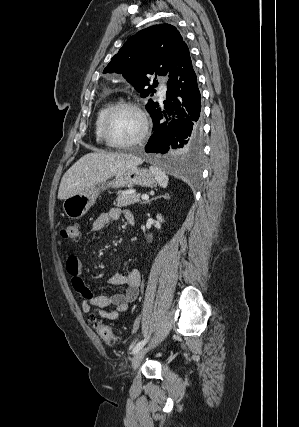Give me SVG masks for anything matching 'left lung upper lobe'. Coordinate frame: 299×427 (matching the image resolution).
I'll return each instance as SVG.
<instances>
[{
	"mask_svg": "<svg viewBox=\"0 0 299 427\" xmlns=\"http://www.w3.org/2000/svg\"><path fill=\"white\" fill-rule=\"evenodd\" d=\"M183 38L177 28L170 24H158L143 29L131 36L114 55L103 73H119L145 98L153 95L157 81L152 75H168ZM157 102L146 104L150 113Z\"/></svg>",
	"mask_w": 299,
	"mask_h": 427,
	"instance_id": "left-lung-upper-lobe-1",
	"label": "left lung upper lobe"
}]
</instances>
